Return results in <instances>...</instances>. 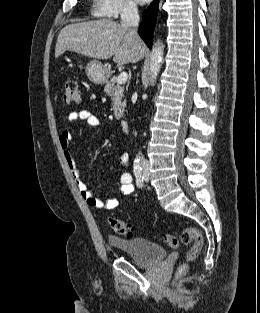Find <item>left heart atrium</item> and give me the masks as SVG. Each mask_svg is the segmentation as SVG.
I'll use <instances>...</instances> for the list:
<instances>
[{"instance_id": "left-heart-atrium-1", "label": "left heart atrium", "mask_w": 260, "mask_h": 313, "mask_svg": "<svg viewBox=\"0 0 260 313\" xmlns=\"http://www.w3.org/2000/svg\"><path fill=\"white\" fill-rule=\"evenodd\" d=\"M136 1L140 4H144V3H147L149 0H136Z\"/></svg>"}]
</instances>
